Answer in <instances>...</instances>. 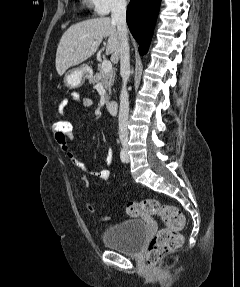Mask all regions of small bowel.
I'll list each match as a JSON object with an SVG mask.
<instances>
[{
    "mask_svg": "<svg viewBox=\"0 0 240 287\" xmlns=\"http://www.w3.org/2000/svg\"><path fill=\"white\" fill-rule=\"evenodd\" d=\"M70 99L72 102L75 104L83 107L84 109H88L93 105V101L90 98L87 97H81L80 94L77 91H72L70 93ZM68 106V99L63 98L60 103H59V110L63 114L65 112V109ZM74 139V130L72 126V131L70 136L65 140V141H60L58 139H55L61 150L66 154L67 158L70 160L72 165H74L76 168L81 170L84 173H89L101 180H109L111 176V172L108 169H103L100 171H90L85 163L75 154L73 149L71 148V142ZM107 164L111 165L113 163V154L111 149H109L107 153V158H106Z\"/></svg>",
    "mask_w": 240,
    "mask_h": 287,
    "instance_id": "1",
    "label": "small bowel"
}]
</instances>
